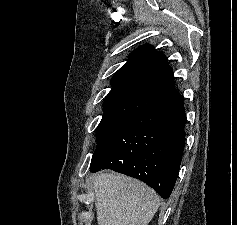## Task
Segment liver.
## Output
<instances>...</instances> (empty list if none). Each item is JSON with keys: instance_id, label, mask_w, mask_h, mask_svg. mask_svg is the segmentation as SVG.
<instances>
[{"instance_id": "6515ba94", "label": "liver", "mask_w": 237, "mask_h": 225, "mask_svg": "<svg viewBox=\"0 0 237 225\" xmlns=\"http://www.w3.org/2000/svg\"><path fill=\"white\" fill-rule=\"evenodd\" d=\"M94 192L98 225H148L160 206L152 188L120 174L95 176Z\"/></svg>"}]
</instances>
